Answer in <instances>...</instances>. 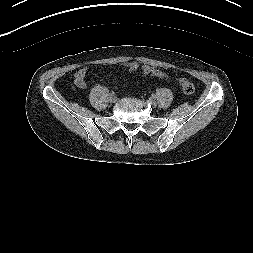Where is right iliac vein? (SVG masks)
Returning a JSON list of instances; mask_svg holds the SVG:
<instances>
[{
    "mask_svg": "<svg viewBox=\"0 0 253 253\" xmlns=\"http://www.w3.org/2000/svg\"><path fill=\"white\" fill-rule=\"evenodd\" d=\"M110 103H115L117 101V97L115 95L109 97Z\"/></svg>",
    "mask_w": 253,
    "mask_h": 253,
    "instance_id": "right-iliac-vein-1",
    "label": "right iliac vein"
}]
</instances>
